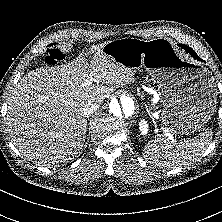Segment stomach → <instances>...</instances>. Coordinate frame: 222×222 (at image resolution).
<instances>
[{"mask_svg": "<svg viewBox=\"0 0 222 222\" xmlns=\"http://www.w3.org/2000/svg\"><path fill=\"white\" fill-rule=\"evenodd\" d=\"M101 52L132 71L144 67L158 83L162 97V126L180 134L201 129L216 105V86L209 70L184 58L166 38H121L103 45Z\"/></svg>", "mask_w": 222, "mask_h": 222, "instance_id": "1", "label": "stomach"}]
</instances>
